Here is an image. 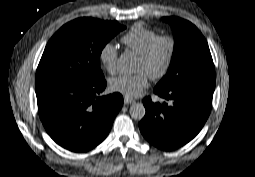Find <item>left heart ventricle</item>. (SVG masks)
I'll return each mask as SVG.
<instances>
[{
  "instance_id": "b2bd125f",
  "label": "left heart ventricle",
  "mask_w": 255,
  "mask_h": 177,
  "mask_svg": "<svg viewBox=\"0 0 255 177\" xmlns=\"http://www.w3.org/2000/svg\"><path fill=\"white\" fill-rule=\"evenodd\" d=\"M167 52V45L165 43H161L155 49L152 58L149 61H143L141 58L138 59L136 71L144 72L148 76L158 72L164 63Z\"/></svg>"
}]
</instances>
